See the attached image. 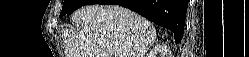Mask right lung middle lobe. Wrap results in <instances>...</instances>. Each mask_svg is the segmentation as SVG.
<instances>
[{"mask_svg": "<svg viewBox=\"0 0 249 57\" xmlns=\"http://www.w3.org/2000/svg\"><path fill=\"white\" fill-rule=\"evenodd\" d=\"M94 0H64L60 17L70 15L73 11L84 5H90Z\"/></svg>", "mask_w": 249, "mask_h": 57, "instance_id": "dd1d6c3e", "label": "right lung middle lobe"}]
</instances>
